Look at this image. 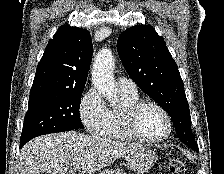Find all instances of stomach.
<instances>
[{
  "mask_svg": "<svg viewBox=\"0 0 224 174\" xmlns=\"http://www.w3.org/2000/svg\"><path fill=\"white\" fill-rule=\"evenodd\" d=\"M126 163L127 166L133 170L134 172H137L138 174H143L147 172L153 165L155 164L157 160L156 153L144 146H140L133 151L129 152L126 156ZM119 172H114L110 170H104L100 172L99 174H113Z\"/></svg>",
  "mask_w": 224,
  "mask_h": 174,
  "instance_id": "0dacf381",
  "label": "stomach"
}]
</instances>
